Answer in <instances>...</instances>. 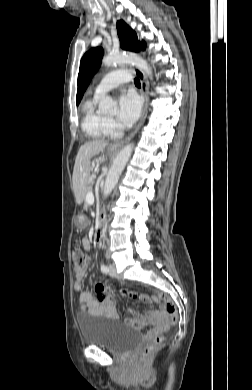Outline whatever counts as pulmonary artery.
<instances>
[{"label": "pulmonary artery", "instance_id": "pulmonary-artery-1", "mask_svg": "<svg viewBox=\"0 0 252 390\" xmlns=\"http://www.w3.org/2000/svg\"><path fill=\"white\" fill-rule=\"evenodd\" d=\"M132 79V72L128 70H114L106 74L95 87L96 95H101L117 86L129 82Z\"/></svg>", "mask_w": 252, "mask_h": 390}]
</instances>
